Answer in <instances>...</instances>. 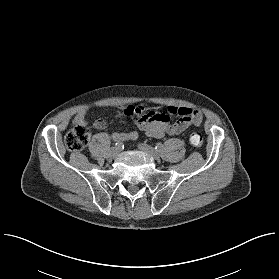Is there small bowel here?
I'll return each instance as SVG.
<instances>
[{"instance_id":"1","label":"small bowel","mask_w":279,"mask_h":279,"mask_svg":"<svg viewBox=\"0 0 279 279\" xmlns=\"http://www.w3.org/2000/svg\"><path fill=\"white\" fill-rule=\"evenodd\" d=\"M123 114L129 118H136V126L139 131L146 132L150 136L162 137L164 135H175L182 133L191 125H199L202 122L200 112L185 108L168 106L166 111L147 110L141 106H124ZM88 109L84 108L79 111L73 118L74 125L86 124V115ZM172 116H176V120L172 121ZM96 129H104L106 121L97 119L94 121ZM113 139L118 141L136 140L138 138L137 131L117 132L112 135Z\"/></svg>"}]
</instances>
